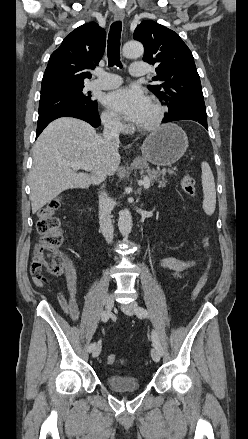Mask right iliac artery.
<instances>
[{
    "label": "right iliac artery",
    "mask_w": 248,
    "mask_h": 439,
    "mask_svg": "<svg viewBox=\"0 0 248 439\" xmlns=\"http://www.w3.org/2000/svg\"><path fill=\"white\" fill-rule=\"evenodd\" d=\"M101 319H102V321L104 322V323H106L107 321H108V319H109V313H107V312H103L102 313V316H101ZM95 343H91L90 345H89V347H88V351L89 352H92V350L95 348Z\"/></svg>",
    "instance_id": "82829eb1"
}]
</instances>
